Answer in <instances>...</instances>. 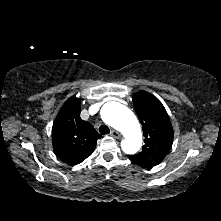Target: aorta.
<instances>
[{"mask_svg": "<svg viewBox=\"0 0 221 221\" xmlns=\"http://www.w3.org/2000/svg\"><path fill=\"white\" fill-rule=\"evenodd\" d=\"M101 115L106 123L124 135L121 142L123 152L137 153L142 146V133L134 113L120 103L109 102L103 106Z\"/></svg>", "mask_w": 221, "mask_h": 221, "instance_id": "1", "label": "aorta"}]
</instances>
